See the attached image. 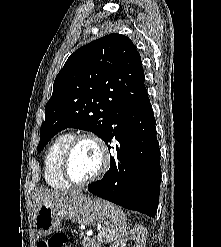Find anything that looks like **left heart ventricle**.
I'll list each match as a JSON object with an SVG mask.
<instances>
[{
  "instance_id": "left-heart-ventricle-1",
  "label": "left heart ventricle",
  "mask_w": 221,
  "mask_h": 247,
  "mask_svg": "<svg viewBox=\"0 0 221 247\" xmlns=\"http://www.w3.org/2000/svg\"><path fill=\"white\" fill-rule=\"evenodd\" d=\"M100 163L101 157L97 146L88 140L81 141L72 153L70 174L76 181L86 180L97 172Z\"/></svg>"
}]
</instances>
